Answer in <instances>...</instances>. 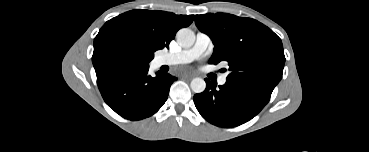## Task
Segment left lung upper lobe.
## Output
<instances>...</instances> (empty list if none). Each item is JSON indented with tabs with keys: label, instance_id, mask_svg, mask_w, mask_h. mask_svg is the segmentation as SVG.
Masks as SVG:
<instances>
[{
	"label": "left lung upper lobe",
	"instance_id": "left-lung-upper-lobe-1",
	"mask_svg": "<svg viewBox=\"0 0 369 152\" xmlns=\"http://www.w3.org/2000/svg\"><path fill=\"white\" fill-rule=\"evenodd\" d=\"M195 23L215 45L209 63L228 62L227 80L271 88L279 83L285 63L283 46L267 26L227 13L196 15Z\"/></svg>",
	"mask_w": 369,
	"mask_h": 152
}]
</instances>
